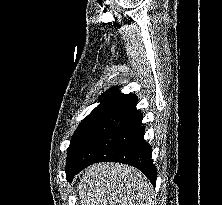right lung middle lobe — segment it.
<instances>
[{
  "label": "right lung middle lobe",
  "mask_w": 222,
  "mask_h": 205,
  "mask_svg": "<svg viewBox=\"0 0 222 205\" xmlns=\"http://www.w3.org/2000/svg\"><path fill=\"white\" fill-rule=\"evenodd\" d=\"M107 112H92L78 126L70 141L67 152L66 169L72 164L89 134L96 125L105 117Z\"/></svg>",
  "instance_id": "obj_1"
}]
</instances>
